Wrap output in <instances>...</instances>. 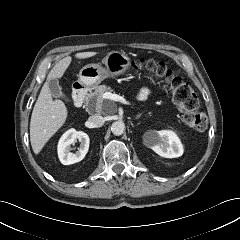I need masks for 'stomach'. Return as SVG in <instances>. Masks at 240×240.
<instances>
[{
  "label": "stomach",
  "instance_id": "1",
  "mask_svg": "<svg viewBox=\"0 0 240 240\" xmlns=\"http://www.w3.org/2000/svg\"><path fill=\"white\" fill-rule=\"evenodd\" d=\"M105 67L99 64L84 66L78 75V82L86 89L96 88L107 77L125 73L130 66V57L125 52L111 51L104 58Z\"/></svg>",
  "mask_w": 240,
  "mask_h": 240
}]
</instances>
